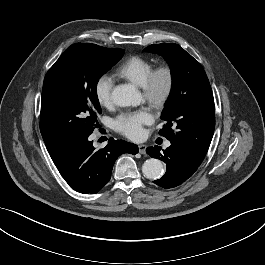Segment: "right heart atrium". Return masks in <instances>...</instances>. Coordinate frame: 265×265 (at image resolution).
Wrapping results in <instances>:
<instances>
[{"label":"right heart atrium","instance_id":"d8ad5b80","mask_svg":"<svg viewBox=\"0 0 265 265\" xmlns=\"http://www.w3.org/2000/svg\"><path fill=\"white\" fill-rule=\"evenodd\" d=\"M114 81L107 74L100 75L94 84V94L98 104L102 107H110L112 105V92Z\"/></svg>","mask_w":265,"mask_h":265}]
</instances>
